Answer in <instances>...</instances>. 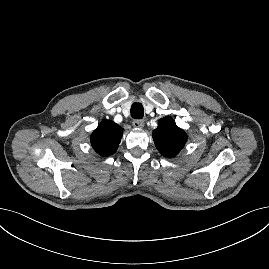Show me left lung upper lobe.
I'll return each mask as SVG.
<instances>
[{
    "mask_svg": "<svg viewBox=\"0 0 269 269\" xmlns=\"http://www.w3.org/2000/svg\"><path fill=\"white\" fill-rule=\"evenodd\" d=\"M153 139L159 152L168 158L176 156L187 141L186 133L179 128L170 116L159 120L153 131Z\"/></svg>",
    "mask_w": 269,
    "mask_h": 269,
    "instance_id": "5c2ea615",
    "label": "left lung upper lobe"
}]
</instances>
